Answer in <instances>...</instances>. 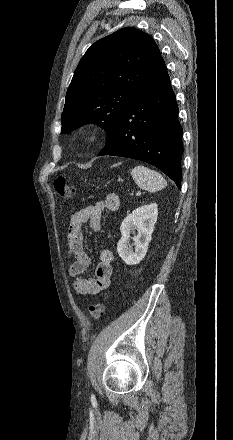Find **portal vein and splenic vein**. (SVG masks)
<instances>
[{"mask_svg":"<svg viewBox=\"0 0 233 440\" xmlns=\"http://www.w3.org/2000/svg\"><path fill=\"white\" fill-rule=\"evenodd\" d=\"M136 194H137V195H140V194H141V191H137ZM131 195H133V193H132Z\"/></svg>","mask_w":233,"mask_h":440,"instance_id":"obj_1","label":"portal vein and splenic vein"}]
</instances>
